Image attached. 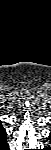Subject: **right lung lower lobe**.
Listing matches in <instances>:
<instances>
[{
	"label": "right lung lower lobe",
	"instance_id": "98d812e1",
	"mask_svg": "<svg viewBox=\"0 0 51 150\" xmlns=\"http://www.w3.org/2000/svg\"><path fill=\"white\" fill-rule=\"evenodd\" d=\"M1 148H2L3 150H9V145L7 144V142H6V143H3V144L1 145Z\"/></svg>",
	"mask_w": 51,
	"mask_h": 150
}]
</instances>
